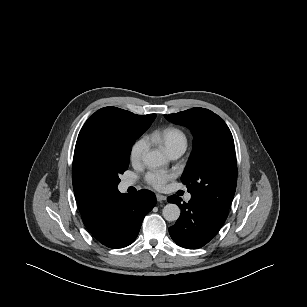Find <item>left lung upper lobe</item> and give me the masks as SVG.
<instances>
[{
	"mask_svg": "<svg viewBox=\"0 0 307 307\" xmlns=\"http://www.w3.org/2000/svg\"><path fill=\"white\" fill-rule=\"evenodd\" d=\"M188 127L194 147L181 181L191 198L226 219L237 184V161L232 134L226 123L204 108L164 115Z\"/></svg>",
	"mask_w": 307,
	"mask_h": 307,
	"instance_id": "left-lung-upper-lobe-1",
	"label": "left lung upper lobe"
}]
</instances>
